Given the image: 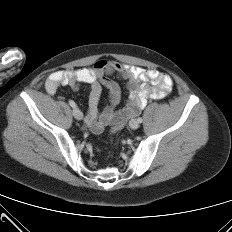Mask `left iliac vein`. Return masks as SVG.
<instances>
[{"label":"left iliac vein","mask_w":232,"mask_h":232,"mask_svg":"<svg viewBox=\"0 0 232 232\" xmlns=\"http://www.w3.org/2000/svg\"><path fill=\"white\" fill-rule=\"evenodd\" d=\"M129 125L132 129H137L139 127V122L136 119H132Z\"/></svg>","instance_id":"1"}]
</instances>
